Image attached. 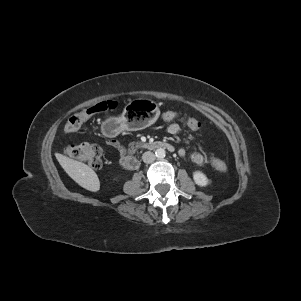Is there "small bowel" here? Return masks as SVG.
I'll return each instance as SVG.
<instances>
[{
  "instance_id": "obj_1",
  "label": "small bowel",
  "mask_w": 301,
  "mask_h": 301,
  "mask_svg": "<svg viewBox=\"0 0 301 301\" xmlns=\"http://www.w3.org/2000/svg\"><path fill=\"white\" fill-rule=\"evenodd\" d=\"M162 117L165 121L171 122L166 128L167 133H169L171 135H175V134L179 133L181 128L178 123L173 122L175 119H169V118L165 117L164 114L162 115ZM107 142L113 148H115L117 150V152L120 156V159L125 155V148L119 141L114 140V139H108ZM178 153L181 157H185L187 155V150L184 148H181V149H179ZM190 158L194 164L199 165V166H203L206 162L205 157L198 152L191 153Z\"/></svg>"
}]
</instances>
